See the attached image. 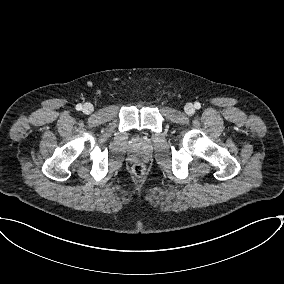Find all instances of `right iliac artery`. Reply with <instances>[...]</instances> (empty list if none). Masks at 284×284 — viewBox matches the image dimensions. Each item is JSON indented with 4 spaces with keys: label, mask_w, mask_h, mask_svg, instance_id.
<instances>
[{
    "label": "right iliac artery",
    "mask_w": 284,
    "mask_h": 284,
    "mask_svg": "<svg viewBox=\"0 0 284 284\" xmlns=\"http://www.w3.org/2000/svg\"><path fill=\"white\" fill-rule=\"evenodd\" d=\"M76 109H77L78 111L82 110V105H81V104H77V105H76Z\"/></svg>",
    "instance_id": "1"
}]
</instances>
